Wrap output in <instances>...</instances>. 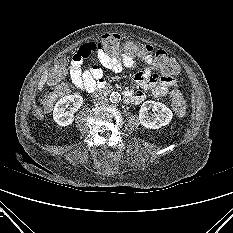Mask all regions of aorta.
I'll return each mask as SVG.
<instances>
[{"label": "aorta", "mask_w": 233, "mask_h": 233, "mask_svg": "<svg viewBox=\"0 0 233 233\" xmlns=\"http://www.w3.org/2000/svg\"><path fill=\"white\" fill-rule=\"evenodd\" d=\"M109 99H110V102H112V103H119L120 100H121V95H120L119 92H112L110 94V98Z\"/></svg>", "instance_id": "obj_1"}]
</instances>
